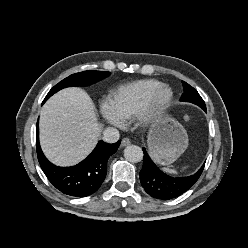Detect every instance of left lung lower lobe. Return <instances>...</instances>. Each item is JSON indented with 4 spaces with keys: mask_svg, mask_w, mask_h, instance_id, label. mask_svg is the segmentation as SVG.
<instances>
[{
    "mask_svg": "<svg viewBox=\"0 0 248 248\" xmlns=\"http://www.w3.org/2000/svg\"><path fill=\"white\" fill-rule=\"evenodd\" d=\"M206 111V107H202ZM143 167L140 171V182L145 191L157 199L168 200L186 192L199 179L204 165L194 175L187 177H171L163 173L150 159L143 148Z\"/></svg>",
    "mask_w": 248,
    "mask_h": 248,
    "instance_id": "1",
    "label": "left lung lower lobe"
}]
</instances>
